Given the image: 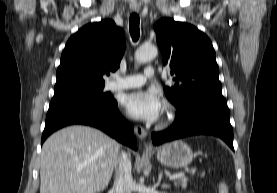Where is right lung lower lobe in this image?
<instances>
[{"mask_svg": "<svg viewBox=\"0 0 277 193\" xmlns=\"http://www.w3.org/2000/svg\"><path fill=\"white\" fill-rule=\"evenodd\" d=\"M72 124L96 127L119 142L137 149L133 129L121 116L115 100L102 102L78 95L54 94L47 112L41 144L54 131Z\"/></svg>", "mask_w": 277, "mask_h": 193, "instance_id": "1", "label": "right lung lower lobe"}]
</instances>
